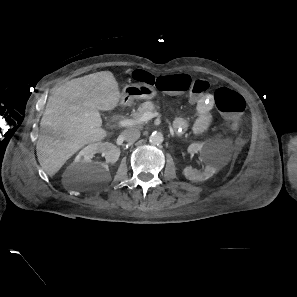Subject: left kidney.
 I'll return each instance as SVG.
<instances>
[{
	"label": "left kidney",
	"instance_id": "1",
	"mask_svg": "<svg viewBox=\"0 0 297 297\" xmlns=\"http://www.w3.org/2000/svg\"><path fill=\"white\" fill-rule=\"evenodd\" d=\"M188 151L190 153L199 152L202 159L206 162L203 172L193 169L192 167H186L183 169L182 174L190 181H205L212 177L217 169L224 164L222 158L218 156L216 150L210 143H193L189 146Z\"/></svg>",
	"mask_w": 297,
	"mask_h": 297
}]
</instances>
